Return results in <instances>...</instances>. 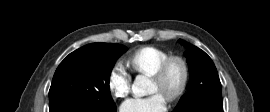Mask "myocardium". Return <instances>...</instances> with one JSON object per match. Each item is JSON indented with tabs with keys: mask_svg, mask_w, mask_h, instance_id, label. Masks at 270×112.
Segmentation results:
<instances>
[{
	"mask_svg": "<svg viewBox=\"0 0 270 112\" xmlns=\"http://www.w3.org/2000/svg\"><path fill=\"white\" fill-rule=\"evenodd\" d=\"M174 66H178L180 68L181 75L176 87L166 96V100L171 103L178 101L188 87L190 80V68L187 61L180 56H170L153 74H151L152 79L160 85H164L166 84L170 71Z\"/></svg>",
	"mask_w": 270,
	"mask_h": 112,
	"instance_id": "1",
	"label": "myocardium"
}]
</instances>
